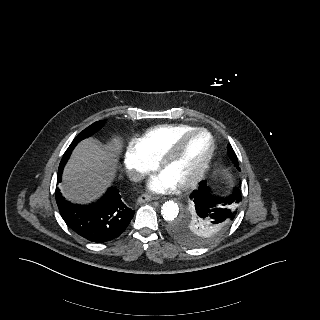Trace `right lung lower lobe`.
<instances>
[{
  "instance_id": "1",
  "label": "right lung lower lobe",
  "mask_w": 320,
  "mask_h": 320,
  "mask_svg": "<svg viewBox=\"0 0 320 320\" xmlns=\"http://www.w3.org/2000/svg\"><path fill=\"white\" fill-rule=\"evenodd\" d=\"M58 173L57 182H61ZM56 202L66 224L88 241L104 243L118 237L129 225L135 211L127 207L119 190L111 187L90 205L73 204L56 188Z\"/></svg>"
}]
</instances>
